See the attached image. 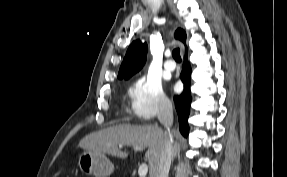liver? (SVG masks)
Segmentation results:
<instances>
[{
  "label": "liver",
  "instance_id": "6515ba94",
  "mask_svg": "<svg viewBox=\"0 0 287 177\" xmlns=\"http://www.w3.org/2000/svg\"><path fill=\"white\" fill-rule=\"evenodd\" d=\"M165 142L163 130L152 125L119 124L85 136L79 147L85 150H93L107 153L124 159L128 157L127 152L120 150L121 146H140L147 148L145 160L149 164V175L154 177L162 155ZM180 145L174 143L173 155H179Z\"/></svg>",
  "mask_w": 287,
  "mask_h": 177
}]
</instances>
